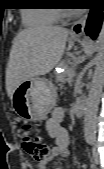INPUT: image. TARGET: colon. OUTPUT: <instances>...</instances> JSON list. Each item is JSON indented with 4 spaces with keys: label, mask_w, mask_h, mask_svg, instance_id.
<instances>
[{
    "label": "colon",
    "mask_w": 104,
    "mask_h": 169,
    "mask_svg": "<svg viewBox=\"0 0 104 169\" xmlns=\"http://www.w3.org/2000/svg\"><path fill=\"white\" fill-rule=\"evenodd\" d=\"M21 142L26 153L37 162L45 161L50 153L49 143L28 126L21 130Z\"/></svg>",
    "instance_id": "colon-1"
}]
</instances>
